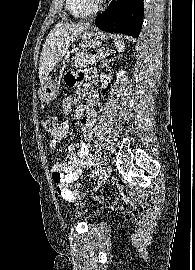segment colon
Returning <instances> with one entry per match:
<instances>
[{"instance_id": "5ec220e1", "label": "colon", "mask_w": 195, "mask_h": 270, "mask_svg": "<svg viewBox=\"0 0 195 270\" xmlns=\"http://www.w3.org/2000/svg\"><path fill=\"white\" fill-rule=\"evenodd\" d=\"M42 125L47 132H50L58 125V116L52 115L43 119ZM72 191L79 196L85 195L87 193V189L82 184H76L72 186ZM97 200H100L99 197H96Z\"/></svg>"}]
</instances>
